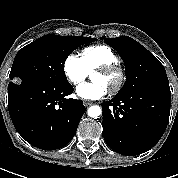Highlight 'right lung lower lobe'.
I'll return each mask as SVG.
<instances>
[{"mask_svg": "<svg viewBox=\"0 0 178 178\" xmlns=\"http://www.w3.org/2000/svg\"><path fill=\"white\" fill-rule=\"evenodd\" d=\"M73 90L68 81L10 83L8 109L21 137L43 150L67 145L86 110L82 101L67 98Z\"/></svg>", "mask_w": 178, "mask_h": 178, "instance_id": "obj_1", "label": "right lung lower lobe"}]
</instances>
